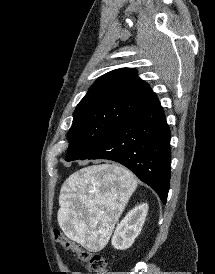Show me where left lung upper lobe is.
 Returning <instances> with one entry per match:
<instances>
[{
	"label": "left lung upper lobe",
	"instance_id": "obj_1",
	"mask_svg": "<svg viewBox=\"0 0 215 274\" xmlns=\"http://www.w3.org/2000/svg\"><path fill=\"white\" fill-rule=\"evenodd\" d=\"M156 100L135 69L120 68L104 74L74 111L66 160L81 159L121 122Z\"/></svg>",
	"mask_w": 215,
	"mask_h": 274
}]
</instances>
